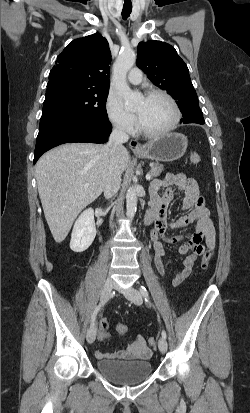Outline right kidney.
<instances>
[{"label":"right kidney","mask_w":250,"mask_h":413,"mask_svg":"<svg viewBox=\"0 0 250 413\" xmlns=\"http://www.w3.org/2000/svg\"><path fill=\"white\" fill-rule=\"evenodd\" d=\"M96 236L94 210L88 208L76 220L70 241V248L80 253L89 248Z\"/></svg>","instance_id":"right-kidney-1"}]
</instances>
